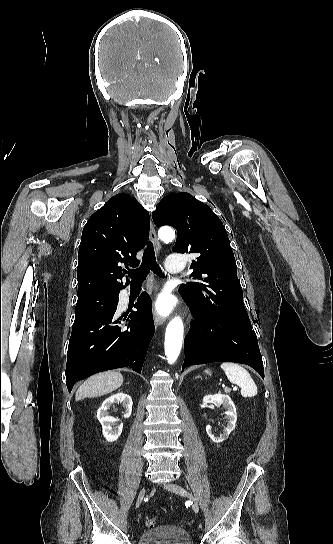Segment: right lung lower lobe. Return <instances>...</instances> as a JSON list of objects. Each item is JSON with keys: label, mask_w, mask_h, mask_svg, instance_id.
<instances>
[{"label": "right lung lower lobe", "mask_w": 333, "mask_h": 544, "mask_svg": "<svg viewBox=\"0 0 333 544\" xmlns=\"http://www.w3.org/2000/svg\"><path fill=\"white\" fill-rule=\"evenodd\" d=\"M134 306L127 324L116 306L73 326L65 371L69 392L77 381L101 371L130 367L141 373L155 332L150 296L142 293Z\"/></svg>", "instance_id": "1"}]
</instances>
